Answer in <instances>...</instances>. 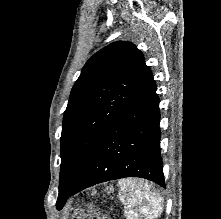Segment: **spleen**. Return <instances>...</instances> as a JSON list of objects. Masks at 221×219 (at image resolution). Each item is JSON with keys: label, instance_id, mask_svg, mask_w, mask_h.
<instances>
[{"label": "spleen", "instance_id": "1", "mask_svg": "<svg viewBox=\"0 0 221 219\" xmlns=\"http://www.w3.org/2000/svg\"><path fill=\"white\" fill-rule=\"evenodd\" d=\"M120 201L127 219H156L163 211V199L147 181L122 179L118 182Z\"/></svg>", "mask_w": 221, "mask_h": 219}]
</instances>
